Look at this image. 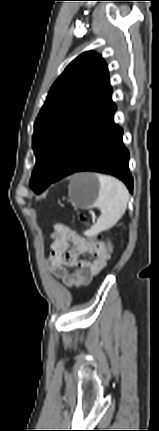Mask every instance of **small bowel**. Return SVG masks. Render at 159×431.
I'll list each match as a JSON object with an SVG mask.
<instances>
[{"label": "small bowel", "instance_id": "obj_1", "mask_svg": "<svg viewBox=\"0 0 159 431\" xmlns=\"http://www.w3.org/2000/svg\"><path fill=\"white\" fill-rule=\"evenodd\" d=\"M50 248L51 270L56 278L70 288L88 285L111 260L110 253H106V244L87 240L76 231L59 224L55 226ZM85 253L92 255L93 260L80 259Z\"/></svg>", "mask_w": 159, "mask_h": 431}]
</instances>
